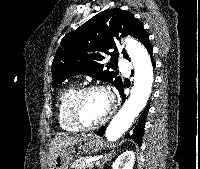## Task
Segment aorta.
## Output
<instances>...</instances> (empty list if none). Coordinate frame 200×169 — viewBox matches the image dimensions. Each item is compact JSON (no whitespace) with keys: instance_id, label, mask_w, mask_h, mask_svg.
<instances>
[{"instance_id":"aorta-1","label":"aorta","mask_w":200,"mask_h":169,"mask_svg":"<svg viewBox=\"0 0 200 169\" xmlns=\"http://www.w3.org/2000/svg\"><path fill=\"white\" fill-rule=\"evenodd\" d=\"M125 48L134 66V85L129 99L106 129L105 136L108 141H116L132 126L134 119L146 106L152 90L153 67L147 50L131 38L125 40Z\"/></svg>"}]
</instances>
